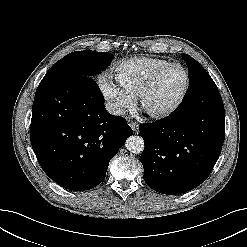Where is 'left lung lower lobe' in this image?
I'll return each instance as SVG.
<instances>
[{
  "label": "left lung lower lobe",
  "instance_id": "1",
  "mask_svg": "<svg viewBox=\"0 0 247 247\" xmlns=\"http://www.w3.org/2000/svg\"><path fill=\"white\" fill-rule=\"evenodd\" d=\"M195 101L183 102L169 117L141 124L145 183L175 195L187 192L209 176L224 142L225 111L213 80L193 86Z\"/></svg>",
  "mask_w": 247,
  "mask_h": 247
}]
</instances>
